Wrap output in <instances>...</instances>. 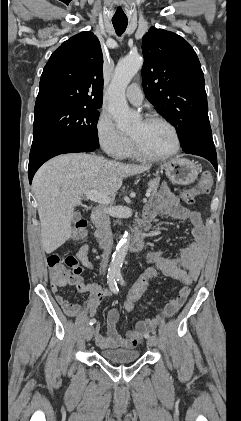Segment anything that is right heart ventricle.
Listing matches in <instances>:
<instances>
[{"label":"right heart ventricle","instance_id":"obj_1","mask_svg":"<svg viewBox=\"0 0 241 421\" xmlns=\"http://www.w3.org/2000/svg\"><path fill=\"white\" fill-rule=\"evenodd\" d=\"M131 156H134V153H133V150L131 148L130 141H129V145H128V147H127V149H126V151H125V153L122 157H131Z\"/></svg>","mask_w":241,"mask_h":421}]
</instances>
